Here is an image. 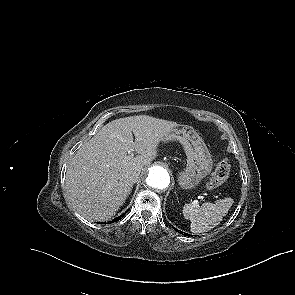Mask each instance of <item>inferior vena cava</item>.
<instances>
[{
  "instance_id": "602c4592",
  "label": "inferior vena cava",
  "mask_w": 295,
  "mask_h": 295,
  "mask_svg": "<svg viewBox=\"0 0 295 295\" xmlns=\"http://www.w3.org/2000/svg\"><path fill=\"white\" fill-rule=\"evenodd\" d=\"M133 181L137 182V178H139L138 174L137 173H133L130 177ZM137 180V181H136Z\"/></svg>"
}]
</instances>
